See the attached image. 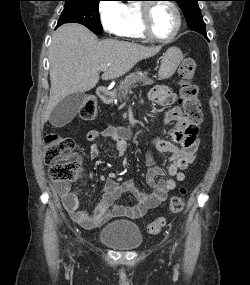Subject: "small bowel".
Returning <instances> with one entry per match:
<instances>
[{"mask_svg": "<svg viewBox=\"0 0 250 285\" xmlns=\"http://www.w3.org/2000/svg\"><path fill=\"white\" fill-rule=\"evenodd\" d=\"M149 99L156 105L169 106L175 100V94L167 87L155 86L149 92ZM163 121L173 124L169 131L172 141L155 138L152 140V145L157 152L169 156L167 173L170 178L157 179L164 174V171L154 164V156L152 152H149L146 156V163L149 166L146 183L152 191L139 190L131 180L118 184L112 178L103 176V194L92 212H86L80 208V201L77 195L71 191L68 183L57 182L56 190L73 221L86 229H93L117 217L142 218L148 210L156 208L165 201L167 194L173 191L178 183L185 180L184 170L193 162L198 147L197 127L189 126L182 113V106L171 108L165 114ZM132 135L131 129L126 127H107L101 131L89 130L86 133V139L92 143L90 157L96 159L100 155L99 146L95 143L99 137L112 141L118 156L125 155L127 140ZM80 173L83 183H85L83 170ZM125 193L132 194L137 203L133 206L115 204V201Z\"/></svg>", "mask_w": 250, "mask_h": 285, "instance_id": "obj_1", "label": "small bowel"}]
</instances>
